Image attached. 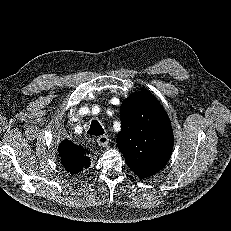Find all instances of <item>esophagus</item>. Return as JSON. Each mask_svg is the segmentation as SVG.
<instances>
[{
    "label": "esophagus",
    "instance_id": "obj_1",
    "mask_svg": "<svg viewBox=\"0 0 231 231\" xmlns=\"http://www.w3.org/2000/svg\"><path fill=\"white\" fill-rule=\"evenodd\" d=\"M110 142V138L108 135H101L97 138V143L101 147H107Z\"/></svg>",
    "mask_w": 231,
    "mask_h": 231
}]
</instances>
